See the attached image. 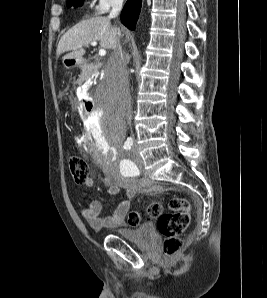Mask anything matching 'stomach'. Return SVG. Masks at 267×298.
<instances>
[{"label": "stomach", "mask_w": 267, "mask_h": 298, "mask_svg": "<svg viewBox=\"0 0 267 298\" xmlns=\"http://www.w3.org/2000/svg\"><path fill=\"white\" fill-rule=\"evenodd\" d=\"M78 64H79V60L76 59V60L74 61V65H78Z\"/></svg>", "instance_id": "stomach-1"}]
</instances>
